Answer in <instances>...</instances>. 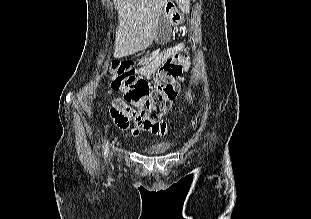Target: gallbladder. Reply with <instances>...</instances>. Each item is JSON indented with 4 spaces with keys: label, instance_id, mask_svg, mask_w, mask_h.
I'll return each mask as SVG.
<instances>
[{
    "label": "gallbladder",
    "instance_id": "gallbladder-1",
    "mask_svg": "<svg viewBox=\"0 0 311 219\" xmlns=\"http://www.w3.org/2000/svg\"><path fill=\"white\" fill-rule=\"evenodd\" d=\"M171 31L172 28L170 22L165 16L161 15L158 21L156 41L161 44L166 43L170 39Z\"/></svg>",
    "mask_w": 311,
    "mask_h": 219
}]
</instances>
